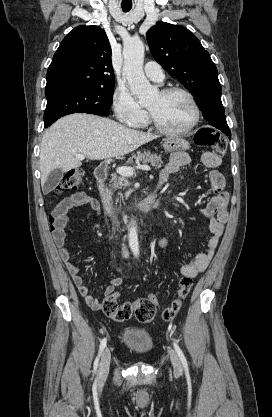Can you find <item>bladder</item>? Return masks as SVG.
I'll use <instances>...</instances> for the list:
<instances>
[{"label":"bladder","mask_w":272,"mask_h":417,"mask_svg":"<svg viewBox=\"0 0 272 417\" xmlns=\"http://www.w3.org/2000/svg\"><path fill=\"white\" fill-rule=\"evenodd\" d=\"M122 341L129 350L138 354H146L154 346L153 339L147 331L133 327L123 330Z\"/></svg>","instance_id":"1"}]
</instances>
